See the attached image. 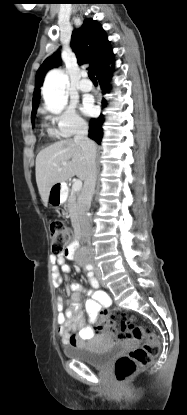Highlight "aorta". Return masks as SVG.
Masks as SVG:
<instances>
[{"label":"aorta","mask_w":187,"mask_h":415,"mask_svg":"<svg viewBox=\"0 0 187 415\" xmlns=\"http://www.w3.org/2000/svg\"><path fill=\"white\" fill-rule=\"evenodd\" d=\"M68 76L61 69L49 71L42 88L46 109L53 114H60L68 103L65 87Z\"/></svg>","instance_id":"aorta-1"}]
</instances>
